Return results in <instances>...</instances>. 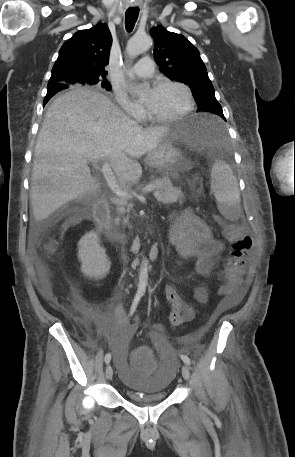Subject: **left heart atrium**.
Wrapping results in <instances>:
<instances>
[{
    "mask_svg": "<svg viewBox=\"0 0 295 457\" xmlns=\"http://www.w3.org/2000/svg\"><path fill=\"white\" fill-rule=\"evenodd\" d=\"M154 92H155V90H153V91L151 92V96H153V95H154Z\"/></svg>",
    "mask_w": 295,
    "mask_h": 457,
    "instance_id": "obj_1",
    "label": "left heart atrium"
}]
</instances>
